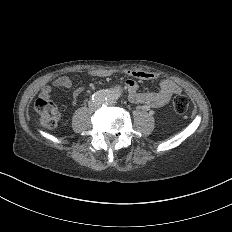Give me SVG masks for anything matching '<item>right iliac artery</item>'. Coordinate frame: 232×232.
Returning <instances> with one entry per match:
<instances>
[{
	"instance_id": "obj_1",
	"label": "right iliac artery",
	"mask_w": 232,
	"mask_h": 232,
	"mask_svg": "<svg viewBox=\"0 0 232 232\" xmlns=\"http://www.w3.org/2000/svg\"><path fill=\"white\" fill-rule=\"evenodd\" d=\"M91 101L95 104H102L105 102L106 100V96L105 93L102 91H97L92 93L91 97H90Z\"/></svg>"
}]
</instances>
